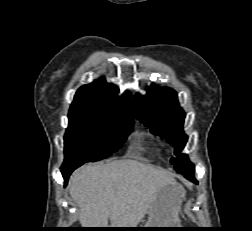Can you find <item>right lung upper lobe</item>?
I'll return each instance as SVG.
<instances>
[{
    "label": "right lung upper lobe",
    "instance_id": "cb5924a9",
    "mask_svg": "<svg viewBox=\"0 0 252 231\" xmlns=\"http://www.w3.org/2000/svg\"><path fill=\"white\" fill-rule=\"evenodd\" d=\"M119 89L104 78L78 89L69 111L106 113L132 118L130 93L117 96Z\"/></svg>",
    "mask_w": 252,
    "mask_h": 231
}]
</instances>
